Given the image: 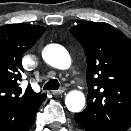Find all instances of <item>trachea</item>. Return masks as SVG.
<instances>
[{
  "label": "trachea",
  "instance_id": "3493384b",
  "mask_svg": "<svg viewBox=\"0 0 131 131\" xmlns=\"http://www.w3.org/2000/svg\"><path fill=\"white\" fill-rule=\"evenodd\" d=\"M59 82L57 79H50L43 87L44 90H58Z\"/></svg>",
  "mask_w": 131,
  "mask_h": 131
}]
</instances>
